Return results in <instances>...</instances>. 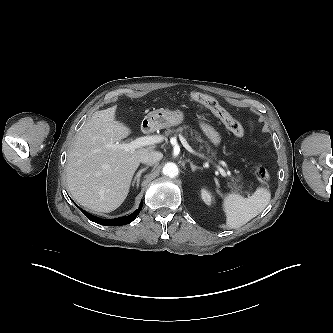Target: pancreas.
I'll use <instances>...</instances> for the list:
<instances>
[{
    "label": "pancreas",
    "instance_id": "pancreas-1",
    "mask_svg": "<svg viewBox=\"0 0 333 333\" xmlns=\"http://www.w3.org/2000/svg\"><path fill=\"white\" fill-rule=\"evenodd\" d=\"M187 129H189L188 126H182V127H179V128H177L175 130H173V129H167V131L165 132V134L168 136V135H171L172 133H182V132H184ZM190 134H191L193 140L196 143H198V142L200 143V149H202L203 148L202 144L205 143L204 140H202L200 138V136L198 135V133L194 132L193 130H190ZM204 146L206 147L207 152L209 153L210 152L209 145L207 143H205ZM212 155H214V153H212ZM237 182H238V179H235V178L232 177L231 180H230V182H228V187L231 188L233 191H236V192L239 191L240 190V186H238Z\"/></svg>",
    "mask_w": 333,
    "mask_h": 333
}]
</instances>
